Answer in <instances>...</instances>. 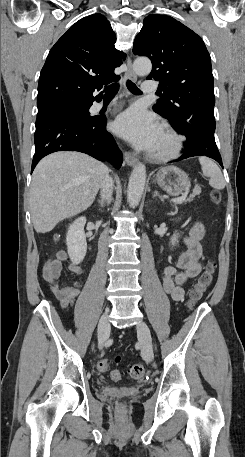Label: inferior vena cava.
I'll return each instance as SVG.
<instances>
[{"mask_svg": "<svg viewBox=\"0 0 245 457\" xmlns=\"http://www.w3.org/2000/svg\"><path fill=\"white\" fill-rule=\"evenodd\" d=\"M113 188V180L111 176H107L101 182V196L103 200H110L111 192Z\"/></svg>", "mask_w": 245, "mask_h": 457, "instance_id": "inferior-vena-cava-1", "label": "inferior vena cava"}]
</instances>
